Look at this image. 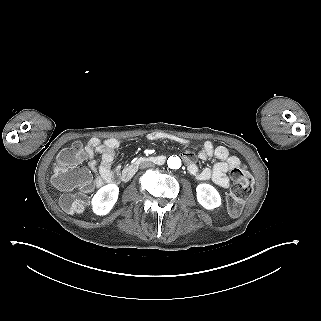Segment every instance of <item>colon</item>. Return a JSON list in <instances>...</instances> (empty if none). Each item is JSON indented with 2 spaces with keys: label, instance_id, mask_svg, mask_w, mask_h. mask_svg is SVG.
<instances>
[{
  "label": "colon",
  "instance_id": "colon-1",
  "mask_svg": "<svg viewBox=\"0 0 321 321\" xmlns=\"http://www.w3.org/2000/svg\"><path fill=\"white\" fill-rule=\"evenodd\" d=\"M85 158V146L82 142H75L59 152L54 166V184L65 190L74 192L65 194L61 198L64 210L71 214L82 213L89 200L91 180L89 173L80 165ZM235 182L228 197L227 206L231 215L238 216L246 200L253 190V178L246 166L239 164L230 171Z\"/></svg>",
  "mask_w": 321,
  "mask_h": 321
}]
</instances>
